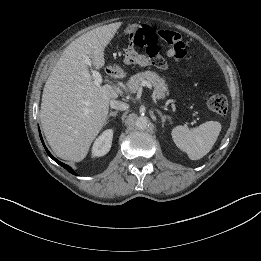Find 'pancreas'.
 I'll use <instances>...</instances> for the list:
<instances>
[{
	"label": "pancreas",
	"mask_w": 261,
	"mask_h": 261,
	"mask_svg": "<svg viewBox=\"0 0 261 261\" xmlns=\"http://www.w3.org/2000/svg\"><path fill=\"white\" fill-rule=\"evenodd\" d=\"M149 81L154 87V93L158 99H164L168 95L167 85L156 72L145 71L130 77L127 82L128 89L131 93H135L143 81Z\"/></svg>",
	"instance_id": "obj_1"
}]
</instances>
